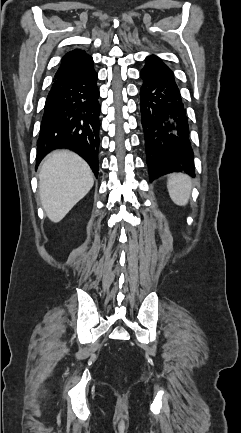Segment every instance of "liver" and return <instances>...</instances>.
Segmentation results:
<instances>
[{
	"mask_svg": "<svg viewBox=\"0 0 241 433\" xmlns=\"http://www.w3.org/2000/svg\"><path fill=\"white\" fill-rule=\"evenodd\" d=\"M39 195L47 217L60 222L90 191L94 176L89 165L68 150L50 153L39 169Z\"/></svg>",
	"mask_w": 241,
	"mask_h": 433,
	"instance_id": "liver-1",
	"label": "liver"
}]
</instances>
